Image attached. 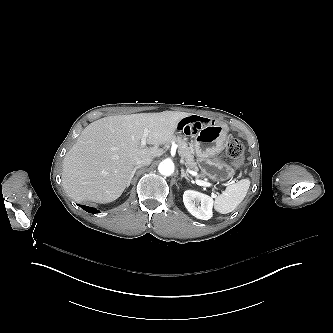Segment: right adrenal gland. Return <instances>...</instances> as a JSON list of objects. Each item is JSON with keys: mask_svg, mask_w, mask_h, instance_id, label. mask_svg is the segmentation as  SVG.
<instances>
[{"mask_svg": "<svg viewBox=\"0 0 333 333\" xmlns=\"http://www.w3.org/2000/svg\"><path fill=\"white\" fill-rule=\"evenodd\" d=\"M139 168H141V166H136V167L133 169V172H132V175H131V177H130V179H129V181H128L127 187H129L130 182H131V179L133 178V176H134L136 170L139 169Z\"/></svg>", "mask_w": 333, "mask_h": 333, "instance_id": "1", "label": "right adrenal gland"}]
</instances>
